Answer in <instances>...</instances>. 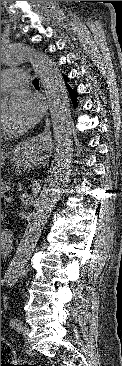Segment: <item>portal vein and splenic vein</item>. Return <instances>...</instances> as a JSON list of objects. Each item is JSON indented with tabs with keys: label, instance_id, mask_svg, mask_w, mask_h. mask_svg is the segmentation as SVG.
Wrapping results in <instances>:
<instances>
[{
	"label": "portal vein and splenic vein",
	"instance_id": "18ae733b",
	"mask_svg": "<svg viewBox=\"0 0 122 366\" xmlns=\"http://www.w3.org/2000/svg\"><path fill=\"white\" fill-rule=\"evenodd\" d=\"M5 200H6L7 202H10V201L12 200V197H11V196L6 197V198H5Z\"/></svg>",
	"mask_w": 122,
	"mask_h": 366
}]
</instances>
